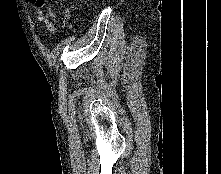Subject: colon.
Masks as SVG:
<instances>
[{"label": "colon", "instance_id": "obj_1", "mask_svg": "<svg viewBox=\"0 0 221 174\" xmlns=\"http://www.w3.org/2000/svg\"><path fill=\"white\" fill-rule=\"evenodd\" d=\"M41 4H44L47 0H39Z\"/></svg>", "mask_w": 221, "mask_h": 174}]
</instances>
